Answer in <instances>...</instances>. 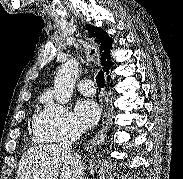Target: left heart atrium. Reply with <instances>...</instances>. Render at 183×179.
<instances>
[{
    "label": "left heart atrium",
    "mask_w": 183,
    "mask_h": 179,
    "mask_svg": "<svg viewBox=\"0 0 183 179\" xmlns=\"http://www.w3.org/2000/svg\"><path fill=\"white\" fill-rule=\"evenodd\" d=\"M75 110L79 121L86 128L95 126L101 115L98 104L90 99L79 100Z\"/></svg>",
    "instance_id": "1"
}]
</instances>
